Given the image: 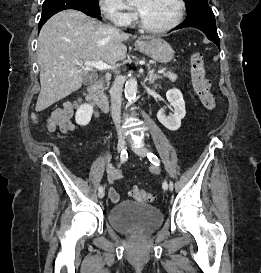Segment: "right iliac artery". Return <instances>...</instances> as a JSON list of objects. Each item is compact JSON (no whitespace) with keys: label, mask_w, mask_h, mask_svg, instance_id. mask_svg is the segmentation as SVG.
<instances>
[{"label":"right iliac artery","mask_w":261,"mask_h":273,"mask_svg":"<svg viewBox=\"0 0 261 273\" xmlns=\"http://www.w3.org/2000/svg\"><path fill=\"white\" fill-rule=\"evenodd\" d=\"M127 158H128V153L126 152V150H123L120 155L121 163H124L127 160ZM98 190L103 191V187L99 186Z\"/></svg>","instance_id":"right-iliac-artery-1"}]
</instances>
